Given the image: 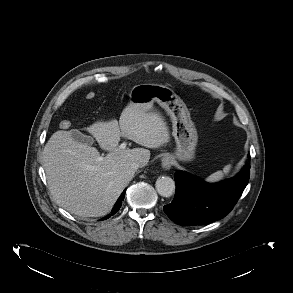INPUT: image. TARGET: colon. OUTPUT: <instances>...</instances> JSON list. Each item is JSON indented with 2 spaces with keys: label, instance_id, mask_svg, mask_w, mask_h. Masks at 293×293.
Returning <instances> with one entry per match:
<instances>
[{
  "label": "colon",
  "instance_id": "5ec220e1",
  "mask_svg": "<svg viewBox=\"0 0 293 293\" xmlns=\"http://www.w3.org/2000/svg\"><path fill=\"white\" fill-rule=\"evenodd\" d=\"M95 98V93L94 92H88L87 94H86V99L87 100H92V99H94ZM60 127L62 128V129H68V128H70L71 127V123H70V121H68V120H64V121H62L61 123H60Z\"/></svg>",
  "mask_w": 293,
  "mask_h": 293
}]
</instances>
